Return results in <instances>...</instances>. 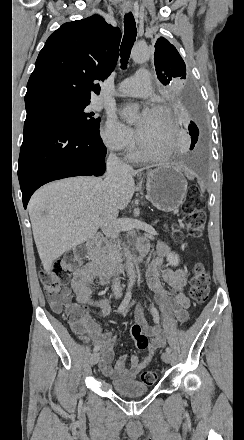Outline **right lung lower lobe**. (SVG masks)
I'll return each mask as SVG.
<instances>
[{"label": "right lung lower lobe", "instance_id": "right-lung-lower-lobe-1", "mask_svg": "<svg viewBox=\"0 0 244 440\" xmlns=\"http://www.w3.org/2000/svg\"><path fill=\"white\" fill-rule=\"evenodd\" d=\"M106 152L99 129L83 131L43 116L26 117L18 162L24 208L31 195L50 181L102 175Z\"/></svg>", "mask_w": 244, "mask_h": 440}]
</instances>
